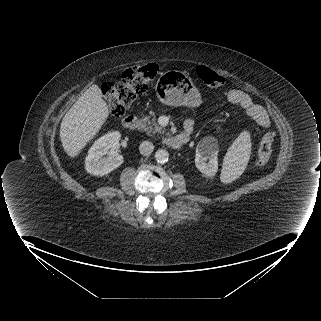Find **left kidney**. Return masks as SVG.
<instances>
[{
  "mask_svg": "<svg viewBox=\"0 0 321 321\" xmlns=\"http://www.w3.org/2000/svg\"><path fill=\"white\" fill-rule=\"evenodd\" d=\"M218 145L214 138H206L196 147L195 165L198 170L207 175L214 176L218 171ZM244 167L243 171L245 170ZM242 171V173H243ZM241 173V174H242Z\"/></svg>",
  "mask_w": 321,
  "mask_h": 321,
  "instance_id": "5707ae66",
  "label": "left kidney"
}]
</instances>
